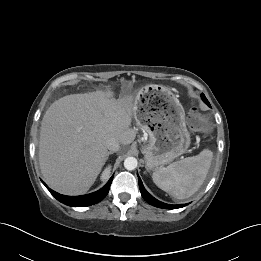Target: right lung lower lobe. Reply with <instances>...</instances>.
Returning <instances> with one entry per match:
<instances>
[{"mask_svg":"<svg viewBox=\"0 0 261 261\" xmlns=\"http://www.w3.org/2000/svg\"><path fill=\"white\" fill-rule=\"evenodd\" d=\"M112 179H113V176L110 178V180L107 182V184L103 188H101L100 190H98L94 193L82 195V196L61 195V194L51 190L50 188H48L46 186V184L43 181L42 182L47 187V189L50 191V193L58 201L66 204L68 206L81 207V206H89V205L96 204V203L100 202L102 199H104L109 192V188H110Z\"/></svg>","mask_w":261,"mask_h":261,"instance_id":"right-lung-lower-lobe-1","label":"right lung lower lobe"}]
</instances>
